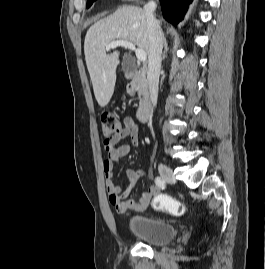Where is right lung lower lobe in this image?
Listing matches in <instances>:
<instances>
[{
    "label": "right lung lower lobe",
    "mask_w": 265,
    "mask_h": 269,
    "mask_svg": "<svg viewBox=\"0 0 265 269\" xmlns=\"http://www.w3.org/2000/svg\"><path fill=\"white\" fill-rule=\"evenodd\" d=\"M192 0H160L164 18L173 25H177L184 17L188 5Z\"/></svg>",
    "instance_id": "1"
}]
</instances>
